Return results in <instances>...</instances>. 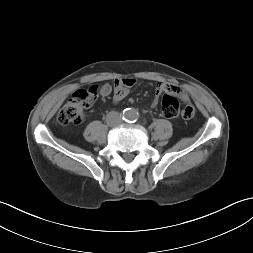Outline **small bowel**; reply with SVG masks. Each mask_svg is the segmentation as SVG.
<instances>
[{
    "instance_id": "small-bowel-1",
    "label": "small bowel",
    "mask_w": 253,
    "mask_h": 253,
    "mask_svg": "<svg viewBox=\"0 0 253 253\" xmlns=\"http://www.w3.org/2000/svg\"><path fill=\"white\" fill-rule=\"evenodd\" d=\"M135 84L136 80L134 78H120L115 80L113 88L109 84H104L100 88H95L98 89V93L103 97L108 96L113 91V101L115 103H119L126 98L129 93V89ZM162 93L177 95L179 99L185 103L179 109V114L183 119L190 120L195 116L196 109L192 104H190V97L188 93L168 82H159L157 85L151 102L152 107L157 106Z\"/></svg>"
}]
</instances>
